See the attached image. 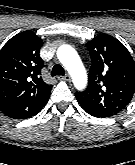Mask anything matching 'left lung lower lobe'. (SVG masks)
Masks as SVG:
<instances>
[{
  "mask_svg": "<svg viewBox=\"0 0 135 165\" xmlns=\"http://www.w3.org/2000/svg\"><path fill=\"white\" fill-rule=\"evenodd\" d=\"M82 108L87 112V113H89L90 115H92V116H95V117H108V116H106L105 114H103V113H101V112H98V111H96V110H92V109H90V108H86V107H83L82 106Z\"/></svg>",
  "mask_w": 135,
  "mask_h": 165,
  "instance_id": "obj_1",
  "label": "left lung lower lobe"
}]
</instances>
